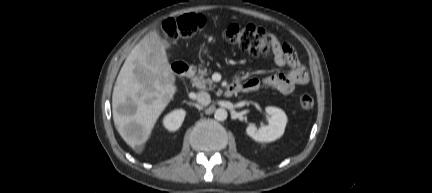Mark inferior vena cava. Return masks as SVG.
Returning a JSON list of instances; mask_svg holds the SVG:
<instances>
[{
  "instance_id": "obj_1",
  "label": "inferior vena cava",
  "mask_w": 432,
  "mask_h": 193,
  "mask_svg": "<svg viewBox=\"0 0 432 193\" xmlns=\"http://www.w3.org/2000/svg\"><path fill=\"white\" fill-rule=\"evenodd\" d=\"M196 99H197L198 103H200L201 105H204V106L209 105L211 102L210 95L205 91H200L199 93H197Z\"/></svg>"
}]
</instances>
